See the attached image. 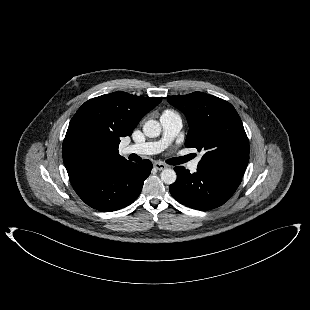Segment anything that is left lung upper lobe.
Wrapping results in <instances>:
<instances>
[{"instance_id":"left-lung-upper-lobe-1","label":"left lung upper lobe","mask_w":310,"mask_h":310,"mask_svg":"<svg viewBox=\"0 0 310 310\" xmlns=\"http://www.w3.org/2000/svg\"><path fill=\"white\" fill-rule=\"evenodd\" d=\"M168 102L187 118L190 130L185 146L204 152L198 167L242 177L249 160V141L234 107L202 92L170 96Z\"/></svg>"}]
</instances>
